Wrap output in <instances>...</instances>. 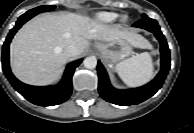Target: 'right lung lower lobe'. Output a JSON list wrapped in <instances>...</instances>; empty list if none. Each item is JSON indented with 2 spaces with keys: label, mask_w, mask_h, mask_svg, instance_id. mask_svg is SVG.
<instances>
[{
  "label": "right lung lower lobe",
  "mask_w": 194,
  "mask_h": 133,
  "mask_svg": "<svg viewBox=\"0 0 194 133\" xmlns=\"http://www.w3.org/2000/svg\"><path fill=\"white\" fill-rule=\"evenodd\" d=\"M32 17L33 15L31 14H23L17 20L16 25L10 30L3 44V72L14 89L31 103L39 106H53L61 104L65 102L72 93V75L75 68L82 62V59L70 63L65 70L62 81L58 85L52 87H38L24 84L16 79L10 70L9 44L18 29Z\"/></svg>",
  "instance_id": "98d812e1"
}]
</instances>
